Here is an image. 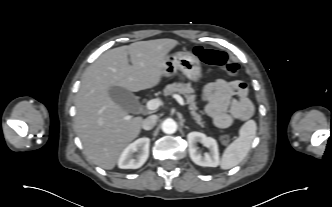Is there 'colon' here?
I'll return each mask as SVG.
<instances>
[{"label": "colon", "instance_id": "obj_1", "mask_svg": "<svg viewBox=\"0 0 332 207\" xmlns=\"http://www.w3.org/2000/svg\"><path fill=\"white\" fill-rule=\"evenodd\" d=\"M194 53L204 63L220 67L229 76H235L239 72V65L231 62L225 52L197 46L194 48ZM220 141L223 144H228L230 138L224 134L220 137Z\"/></svg>", "mask_w": 332, "mask_h": 207}]
</instances>
